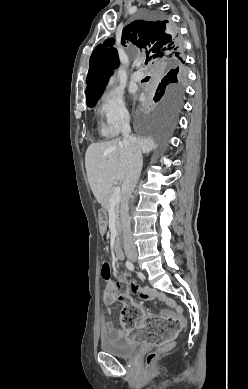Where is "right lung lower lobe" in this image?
Returning <instances> with one entry per match:
<instances>
[{
  "label": "right lung lower lobe",
  "mask_w": 248,
  "mask_h": 389,
  "mask_svg": "<svg viewBox=\"0 0 248 389\" xmlns=\"http://www.w3.org/2000/svg\"><path fill=\"white\" fill-rule=\"evenodd\" d=\"M168 25H169V30H170V32H171V34H172V36H173V41H175V43H176V45H177L176 48H178V47H179V42H180V41H179V38H178V34L172 30L170 24H168Z\"/></svg>",
  "instance_id": "1"
}]
</instances>
